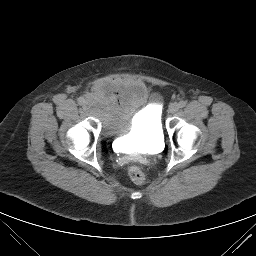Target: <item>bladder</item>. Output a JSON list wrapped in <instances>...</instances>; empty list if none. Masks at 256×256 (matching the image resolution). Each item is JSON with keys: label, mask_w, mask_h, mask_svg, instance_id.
<instances>
[{"label": "bladder", "mask_w": 256, "mask_h": 256, "mask_svg": "<svg viewBox=\"0 0 256 256\" xmlns=\"http://www.w3.org/2000/svg\"><path fill=\"white\" fill-rule=\"evenodd\" d=\"M87 104L106 136H125L127 145L145 149L162 144L160 101L143 83L104 81L87 96Z\"/></svg>", "instance_id": "1"}]
</instances>
